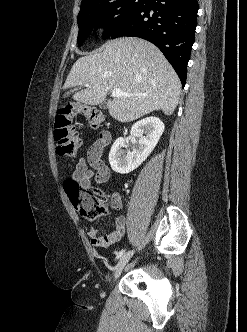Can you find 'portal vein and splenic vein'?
<instances>
[{
  "label": "portal vein and splenic vein",
  "mask_w": 247,
  "mask_h": 332,
  "mask_svg": "<svg viewBox=\"0 0 247 332\" xmlns=\"http://www.w3.org/2000/svg\"><path fill=\"white\" fill-rule=\"evenodd\" d=\"M86 87L89 86V84H85ZM132 94L129 93H124L123 91H121L120 89H113L112 90V96L113 97H119V96H131Z\"/></svg>",
  "instance_id": "1"
}]
</instances>
